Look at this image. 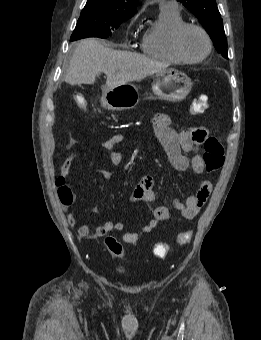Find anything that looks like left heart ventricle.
Instances as JSON below:
<instances>
[{"label": "left heart ventricle", "mask_w": 261, "mask_h": 340, "mask_svg": "<svg viewBox=\"0 0 261 340\" xmlns=\"http://www.w3.org/2000/svg\"><path fill=\"white\" fill-rule=\"evenodd\" d=\"M181 49L187 57L198 59L206 53L207 42L199 30L189 28L182 35Z\"/></svg>", "instance_id": "left-heart-ventricle-1"}]
</instances>
